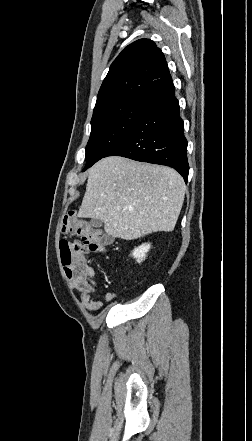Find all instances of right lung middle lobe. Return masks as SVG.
Segmentation results:
<instances>
[{"label":"right lung middle lobe","instance_id":"obj_1","mask_svg":"<svg viewBox=\"0 0 252 441\" xmlns=\"http://www.w3.org/2000/svg\"><path fill=\"white\" fill-rule=\"evenodd\" d=\"M145 107V99L120 103L95 114L91 119V134L86 147L83 171L119 144L132 130Z\"/></svg>","mask_w":252,"mask_h":441}]
</instances>
